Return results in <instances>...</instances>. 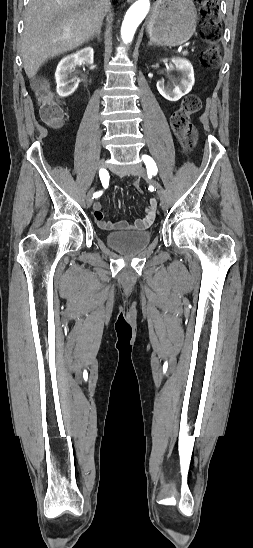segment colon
<instances>
[{"label": "colon", "instance_id": "obj_1", "mask_svg": "<svg viewBox=\"0 0 253 548\" xmlns=\"http://www.w3.org/2000/svg\"><path fill=\"white\" fill-rule=\"evenodd\" d=\"M200 7V16L204 22L203 39L210 45L201 57V64L208 69L215 68L219 62V53L215 44L219 41L218 2L217 0H197ZM34 89L39 103L42 119L51 125H59L63 118L60 102L51 91L48 83L38 79ZM201 108V100L195 94L187 95L180 107L173 113L171 125L186 150H192L197 143V132L191 123V117ZM135 184L138 191L144 189L137 177Z\"/></svg>", "mask_w": 253, "mask_h": 548}]
</instances>
